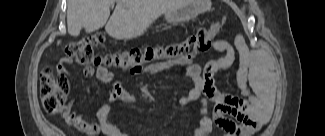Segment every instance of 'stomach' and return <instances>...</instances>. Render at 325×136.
I'll use <instances>...</instances> for the list:
<instances>
[{"mask_svg":"<svg viewBox=\"0 0 325 136\" xmlns=\"http://www.w3.org/2000/svg\"><path fill=\"white\" fill-rule=\"evenodd\" d=\"M210 6V0H187L180 9L165 13V19L169 23L184 22L208 10Z\"/></svg>","mask_w":325,"mask_h":136,"instance_id":"obj_1","label":"stomach"}]
</instances>
